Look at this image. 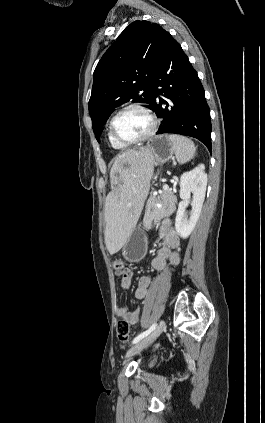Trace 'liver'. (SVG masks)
<instances>
[{
  "instance_id": "obj_1",
  "label": "liver",
  "mask_w": 265,
  "mask_h": 423,
  "mask_svg": "<svg viewBox=\"0 0 265 423\" xmlns=\"http://www.w3.org/2000/svg\"><path fill=\"white\" fill-rule=\"evenodd\" d=\"M154 156L145 147L128 149L111 168L112 191L105 201V244L111 255L125 244L140 217L154 172Z\"/></svg>"
}]
</instances>
